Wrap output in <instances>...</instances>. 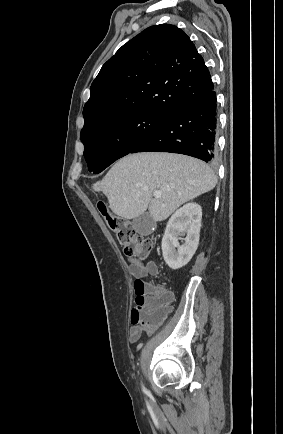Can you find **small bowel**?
<instances>
[{
    "label": "small bowel",
    "mask_w": 283,
    "mask_h": 434,
    "mask_svg": "<svg viewBox=\"0 0 283 434\" xmlns=\"http://www.w3.org/2000/svg\"><path fill=\"white\" fill-rule=\"evenodd\" d=\"M130 272L135 278L142 279L147 276L156 275L158 273V267L154 261L143 262L137 258H132L130 260ZM142 333L143 329L140 326H132L129 333L130 341H138Z\"/></svg>",
    "instance_id": "small-bowel-1"
}]
</instances>
